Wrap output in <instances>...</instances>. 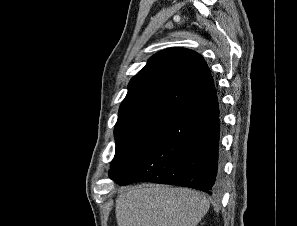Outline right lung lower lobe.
Masks as SVG:
<instances>
[{
  "label": "right lung lower lobe",
  "mask_w": 297,
  "mask_h": 226,
  "mask_svg": "<svg viewBox=\"0 0 297 226\" xmlns=\"http://www.w3.org/2000/svg\"><path fill=\"white\" fill-rule=\"evenodd\" d=\"M219 134V105L214 94L172 115L116 183L148 181L215 194L220 174Z\"/></svg>",
  "instance_id": "right-lung-lower-lobe-1"
}]
</instances>
